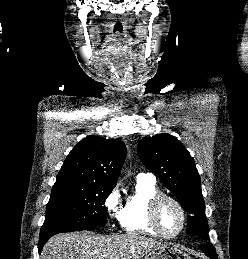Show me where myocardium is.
Wrapping results in <instances>:
<instances>
[{
    "label": "myocardium",
    "mask_w": 248,
    "mask_h": 259,
    "mask_svg": "<svg viewBox=\"0 0 248 259\" xmlns=\"http://www.w3.org/2000/svg\"><path fill=\"white\" fill-rule=\"evenodd\" d=\"M164 201H171L172 203H174L176 207L179 209L182 217L180 229L178 230V232L172 235L165 233L159 222V208ZM149 220L151 226L157 232L158 235L167 239H173L179 236L184 231L187 224V214L179 200H177L175 197L171 195L160 193L157 196H155L150 202Z\"/></svg>",
    "instance_id": "myocardium-1"
}]
</instances>
